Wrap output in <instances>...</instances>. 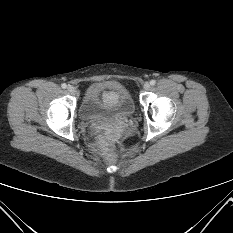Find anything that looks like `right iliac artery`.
<instances>
[{
    "mask_svg": "<svg viewBox=\"0 0 233 233\" xmlns=\"http://www.w3.org/2000/svg\"><path fill=\"white\" fill-rule=\"evenodd\" d=\"M61 87H62L63 89H65V88H67V85H66L65 83H63V84L61 85Z\"/></svg>",
    "mask_w": 233,
    "mask_h": 233,
    "instance_id": "obj_1",
    "label": "right iliac artery"
}]
</instances>
